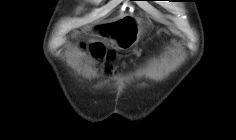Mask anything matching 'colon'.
Instances as JSON below:
<instances>
[{
    "instance_id": "1",
    "label": "colon",
    "mask_w": 236,
    "mask_h": 140,
    "mask_svg": "<svg viewBox=\"0 0 236 140\" xmlns=\"http://www.w3.org/2000/svg\"><path fill=\"white\" fill-rule=\"evenodd\" d=\"M90 50L94 55H96L98 57H101L106 53L104 47L100 43L92 44L90 46Z\"/></svg>"
}]
</instances>
